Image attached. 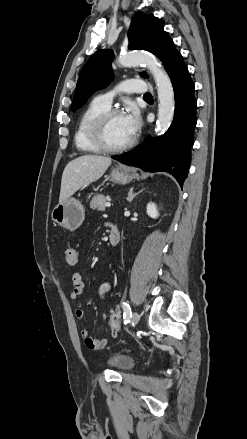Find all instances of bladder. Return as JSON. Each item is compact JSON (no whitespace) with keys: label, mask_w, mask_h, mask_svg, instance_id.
<instances>
[{"label":"bladder","mask_w":247,"mask_h":439,"mask_svg":"<svg viewBox=\"0 0 247 439\" xmlns=\"http://www.w3.org/2000/svg\"><path fill=\"white\" fill-rule=\"evenodd\" d=\"M107 364L120 372H128L133 369L134 359L128 355L116 352H109Z\"/></svg>","instance_id":"31cf9c89"}]
</instances>
